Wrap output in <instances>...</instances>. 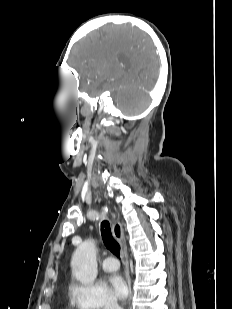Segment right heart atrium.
<instances>
[{"label":"right heart atrium","instance_id":"d8ad5b80","mask_svg":"<svg viewBox=\"0 0 232 309\" xmlns=\"http://www.w3.org/2000/svg\"><path fill=\"white\" fill-rule=\"evenodd\" d=\"M69 297L77 309H119L109 291L100 285L72 283Z\"/></svg>","mask_w":232,"mask_h":309}]
</instances>
